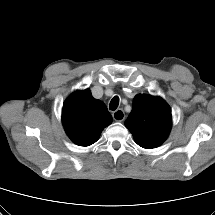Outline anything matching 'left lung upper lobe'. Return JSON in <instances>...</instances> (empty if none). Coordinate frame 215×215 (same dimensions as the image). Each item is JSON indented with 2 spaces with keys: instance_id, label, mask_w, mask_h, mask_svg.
Returning <instances> with one entry per match:
<instances>
[{
  "instance_id": "5c2ea615",
  "label": "left lung upper lobe",
  "mask_w": 215,
  "mask_h": 215,
  "mask_svg": "<svg viewBox=\"0 0 215 215\" xmlns=\"http://www.w3.org/2000/svg\"><path fill=\"white\" fill-rule=\"evenodd\" d=\"M172 124L171 109L160 97L137 95L125 121L135 142L145 148L160 146L168 137Z\"/></svg>"
}]
</instances>
